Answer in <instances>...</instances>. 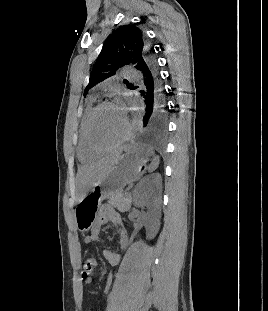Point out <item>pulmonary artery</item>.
I'll return each mask as SVG.
<instances>
[{
    "mask_svg": "<svg viewBox=\"0 0 268 311\" xmlns=\"http://www.w3.org/2000/svg\"><path fill=\"white\" fill-rule=\"evenodd\" d=\"M133 74H134V73H133V71H131V70H125L124 73H123V75H124L125 77H127V78L132 77Z\"/></svg>",
    "mask_w": 268,
    "mask_h": 311,
    "instance_id": "e3ab8cb5",
    "label": "pulmonary artery"
}]
</instances>
